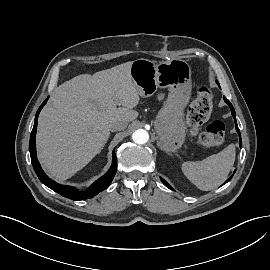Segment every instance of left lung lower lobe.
Returning <instances> with one entry per match:
<instances>
[{"label": "left lung lower lobe", "instance_id": "left-lung-lower-lobe-1", "mask_svg": "<svg viewBox=\"0 0 270 270\" xmlns=\"http://www.w3.org/2000/svg\"><path fill=\"white\" fill-rule=\"evenodd\" d=\"M217 83H218V82H217ZM218 85H219V83H218ZM224 100H225V102L229 105V107H230V109H231V113H232V115H233V117H234L235 125H236V130H237V132H238V134H239V139H240V140H239V145H240V147H241L242 141H241L240 131H239V128H238V126H237L235 110H234L232 104L229 102V100H228L227 98L224 97ZM234 173H235V171H234ZM232 176H233V175H232ZM232 176H231L225 183H227L228 181H230L231 178H232ZM161 181L163 182V184H164L166 187H168L169 189L173 190L172 187H171L164 179L161 178Z\"/></svg>", "mask_w": 270, "mask_h": 270}]
</instances>
